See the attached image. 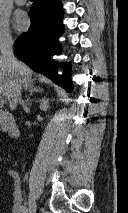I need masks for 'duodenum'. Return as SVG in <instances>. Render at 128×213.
I'll return each instance as SVG.
<instances>
[{
	"label": "duodenum",
	"instance_id": "obj_1",
	"mask_svg": "<svg viewBox=\"0 0 128 213\" xmlns=\"http://www.w3.org/2000/svg\"><path fill=\"white\" fill-rule=\"evenodd\" d=\"M0 124L10 138L17 139L19 137L20 129L12 114L0 110Z\"/></svg>",
	"mask_w": 128,
	"mask_h": 213
}]
</instances>
